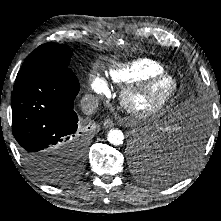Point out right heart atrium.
<instances>
[{
  "instance_id": "d8ad5b80",
  "label": "right heart atrium",
  "mask_w": 221,
  "mask_h": 221,
  "mask_svg": "<svg viewBox=\"0 0 221 221\" xmlns=\"http://www.w3.org/2000/svg\"><path fill=\"white\" fill-rule=\"evenodd\" d=\"M91 89L96 93L103 94L107 91V85L100 77H95L91 82Z\"/></svg>"
}]
</instances>
